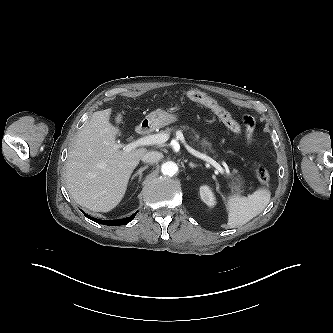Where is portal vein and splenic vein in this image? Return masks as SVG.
<instances>
[{"label": "portal vein and splenic vein", "instance_id": "portal-vein-and-splenic-vein-1", "mask_svg": "<svg viewBox=\"0 0 333 333\" xmlns=\"http://www.w3.org/2000/svg\"><path fill=\"white\" fill-rule=\"evenodd\" d=\"M177 139L181 141V143L184 145V147L187 149L189 153L192 155L206 161L207 163L211 164L213 167H215L221 174H224V169L221 167L219 163H217L215 160H213L211 157L207 156L206 154H203L195 149H193L186 141L181 131L176 132ZM169 139V135L166 133H158L154 135H149L142 137L136 141H133L126 145H117L119 148H123L125 151H131L139 146H145V145H157L165 143Z\"/></svg>", "mask_w": 333, "mask_h": 333}]
</instances>
